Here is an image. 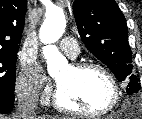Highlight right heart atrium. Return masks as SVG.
<instances>
[{"instance_id":"right-heart-atrium-1","label":"right heart atrium","mask_w":142,"mask_h":119,"mask_svg":"<svg viewBox=\"0 0 142 119\" xmlns=\"http://www.w3.org/2000/svg\"><path fill=\"white\" fill-rule=\"evenodd\" d=\"M40 70L33 61H25L17 76L15 89L18 96L30 102L46 101L50 96L48 87L43 86Z\"/></svg>"}]
</instances>
